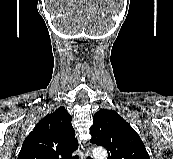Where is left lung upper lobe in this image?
<instances>
[{
	"instance_id": "obj_1",
	"label": "left lung upper lobe",
	"mask_w": 173,
	"mask_h": 159,
	"mask_svg": "<svg viewBox=\"0 0 173 159\" xmlns=\"http://www.w3.org/2000/svg\"><path fill=\"white\" fill-rule=\"evenodd\" d=\"M91 142L108 151V159H150L135 130L116 112L100 109L93 117Z\"/></svg>"
}]
</instances>
